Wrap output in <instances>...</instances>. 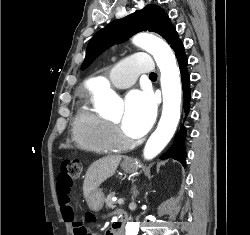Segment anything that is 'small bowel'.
<instances>
[{
	"label": "small bowel",
	"instance_id": "small-bowel-1",
	"mask_svg": "<svg viewBox=\"0 0 250 235\" xmlns=\"http://www.w3.org/2000/svg\"><path fill=\"white\" fill-rule=\"evenodd\" d=\"M70 192H64L59 187H57L58 202L60 206L61 216L66 222L74 223L73 210L70 200Z\"/></svg>",
	"mask_w": 250,
	"mask_h": 235
}]
</instances>
